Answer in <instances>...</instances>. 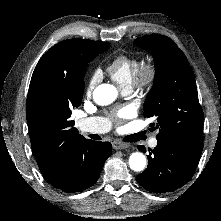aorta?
<instances>
[{"label":"aorta","mask_w":221,"mask_h":221,"mask_svg":"<svg viewBox=\"0 0 221 221\" xmlns=\"http://www.w3.org/2000/svg\"><path fill=\"white\" fill-rule=\"evenodd\" d=\"M118 95L117 89L110 84L99 85L93 93V99L98 105L113 103ZM129 166L135 172H140L146 167V157L141 152H134L129 157Z\"/></svg>","instance_id":"1"}]
</instances>
